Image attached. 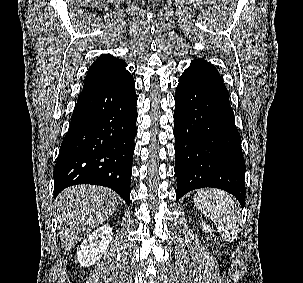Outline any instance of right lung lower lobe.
<instances>
[{"instance_id":"obj_1","label":"right lung lower lobe","mask_w":303,"mask_h":283,"mask_svg":"<svg viewBox=\"0 0 303 283\" xmlns=\"http://www.w3.org/2000/svg\"><path fill=\"white\" fill-rule=\"evenodd\" d=\"M136 105L129 72L80 93L54 167L55 197L69 186L95 184L113 189L129 205Z\"/></svg>"}]
</instances>
